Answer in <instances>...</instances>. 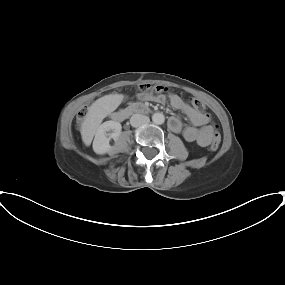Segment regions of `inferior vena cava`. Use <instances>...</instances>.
Instances as JSON below:
<instances>
[{
    "label": "inferior vena cava",
    "instance_id": "inferior-vena-cava-1",
    "mask_svg": "<svg viewBox=\"0 0 285 285\" xmlns=\"http://www.w3.org/2000/svg\"><path fill=\"white\" fill-rule=\"evenodd\" d=\"M149 122V117L142 114H134L130 119V124L135 128L148 124Z\"/></svg>",
    "mask_w": 285,
    "mask_h": 285
}]
</instances>
